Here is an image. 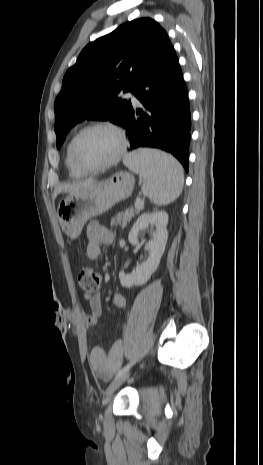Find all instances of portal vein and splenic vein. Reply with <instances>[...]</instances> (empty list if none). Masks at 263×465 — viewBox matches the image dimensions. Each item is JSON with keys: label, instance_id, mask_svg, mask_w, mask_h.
Instances as JSON below:
<instances>
[{"label": "portal vein and splenic vein", "instance_id": "portal-vein-and-splenic-vein-1", "mask_svg": "<svg viewBox=\"0 0 263 465\" xmlns=\"http://www.w3.org/2000/svg\"><path fill=\"white\" fill-rule=\"evenodd\" d=\"M134 206H135L136 209H141L144 206V202L142 200L137 199Z\"/></svg>", "mask_w": 263, "mask_h": 465}]
</instances>
